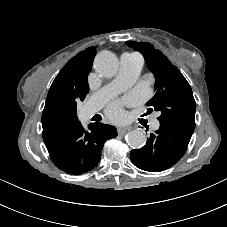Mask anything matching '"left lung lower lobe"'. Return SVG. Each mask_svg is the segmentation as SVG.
Listing matches in <instances>:
<instances>
[{"label":"left lung lower lobe","mask_w":227,"mask_h":227,"mask_svg":"<svg viewBox=\"0 0 227 227\" xmlns=\"http://www.w3.org/2000/svg\"><path fill=\"white\" fill-rule=\"evenodd\" d=\"M194 129L172 121H160L144 147L132 150L130 157L139 169L164 171L177 163L186 152Z\"/></svg>","instance_id":"obj_1"}]
</instances>
